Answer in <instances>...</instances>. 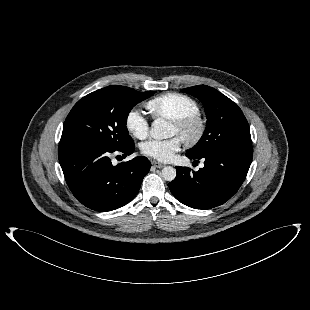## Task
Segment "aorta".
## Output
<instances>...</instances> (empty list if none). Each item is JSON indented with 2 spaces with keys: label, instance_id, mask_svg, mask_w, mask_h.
<instances>
[{
  "label": "aorta",
  "instance_id": "762f6f07",
  "mask_svg": "<svg viewBox=\"0 0 310 310\" xmlns=\"http://www.w3.org/2000/svg\"><path fill=\"white\" fill-rule=\"evenodd\" d=\"M150 135L156 140L169 138L171 136L169 123L162 118L155 119L150 128ZM176 174V169L172 166H166L162 169V177L166 181H173Z\"/></svg>",
  "mask_w": 310,
  "mask_h": 310
}]
</instances>
